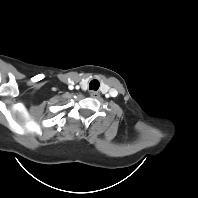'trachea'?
Here are the masks:
<instances>
[{
  "label": "trachea",
  "instance_id": "1",
  "mask_svg": "<svg viewBox=\"0 0 198 198\" xmlns=\"http://www.w3.org/2000/svg\"><path fill=\"white\" fill-rule=\"evenodd\" d=\"M99 86H100L99 81L96 80V79H94V80H92V81L90 82V84H89V89H90V90L96 91V90H98Z\"/></svg>",
  "mask_w": 198,
  "mask_h": 198
}]
</instances>
